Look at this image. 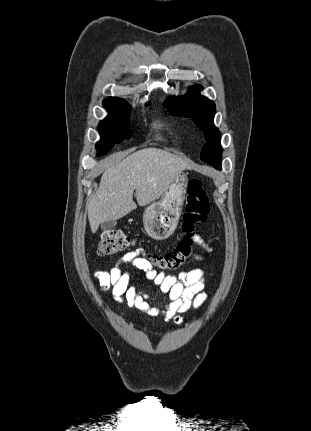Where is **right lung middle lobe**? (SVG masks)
<instances>
[{
  "label": "right lung middle lobe",
  "mask_w": 311,
  "mask_h": 431,
  "mask_svg": "<svg viewBox=\"0 0 311 431\" xmlns=\"http://www.w3.org/2000/svg\"><path fill=\"white\" fill-rule=\"evenodd\" d=\"M103 105L109 111V115L98 126L101 136V140L96 144L98 155H103L110 150L115 141L119 142L131 136L129 129L130 105L122 99L109 98L104 100Z\"/></svg>",
  "instance_id": "right-lung-middle-lobe-1"
}]
</instances>
